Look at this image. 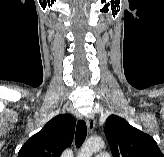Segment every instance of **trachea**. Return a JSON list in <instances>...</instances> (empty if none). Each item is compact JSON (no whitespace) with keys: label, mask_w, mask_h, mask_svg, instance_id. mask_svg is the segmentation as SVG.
<instances>
[{"label":"trachea","mask_w":164,"mask_h":157,"mask_svg":"<svg viewBox=\"0 0 164 157\" xmlns=\"http://www.w3.org/2000/svg\"><path fill=\"white\" fill-rule=\"evenodd\" d=\"M87 135V127H86V123L84 120H80L77 123L76 126V134H75V145L76 147H80Z\"/></svg>","instance_id":"trachea-1"}]
</instances>
